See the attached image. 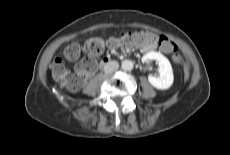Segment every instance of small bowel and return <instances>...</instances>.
<instances>
[{"mask_svg": "<svg viewBox=\"0 0 230 155\" xmlns=\"http://www.w3.org/2000/svg\"><path fill=\"white\" fill-rule=\"evenodd\" d=\"M110 40H112V39H110ZM119 46H121V45L118 44V43L109 44L108 48L111 49V50H113V49L118 48ZM141 49H142L143 52H151V51H153V50L156 49V43H150V44L141 46Z\"/></svg>", "mask_w": 230, "mask_h": 155, "instance_id": "small-bowel-1", "label": "small bowel"}]
</instances>
